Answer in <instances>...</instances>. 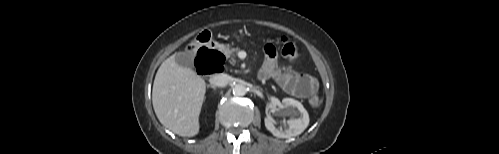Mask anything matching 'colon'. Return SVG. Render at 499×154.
Instances as JSON below:
<instances>
[{
	"label": "colon",
	"mask_w": 499,
	"mask_h": 154,
	"mask_svg": "<svg viewBox=\"0 0 499 154\" xmlns=\"http://www.w3.org/2000/svg\"><path fill=\"white\" fill-rule=\"evenodd\" d=\"M210 40H211V35L208 31H203L197 34L194 38V42L199 45L206 44L210 42ZM280 42H281V54L285 59L289 61H296L299 59L301 51L297 44H295L286 36L281 37ZM212 55H213L214 69L215 71H220L224 66L225 58L221 53L216 51H213ZM321 102L322 100L318 95L312 96L309 100V103L313 107L320 106Z\"/></svg>",
	"instance_id": "5ec220e1"
}]
</instances>
